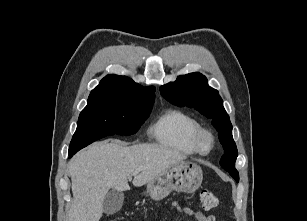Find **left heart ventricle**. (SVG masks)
<instances>
[{
    "label": "left heart ventricle",
    "mask_w": 307,
    "mask_h": 221,
    "mask_svg": "<svg viewBox=\"0 0 307 221\" xmlns=\"http://www.w3.org/2000/svg\"><path fill=\"white\" fill-rule=\"evenodd\" d=\"M207 145H208V143H207V142H205V143H204V146H205V147H207Z\"/></svg>",
    "instance_id": "obj_1"
}]
</instances>
